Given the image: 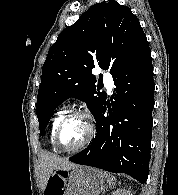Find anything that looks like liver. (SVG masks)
I'll return each mask as SVG.
<instances>
[{
    "label": "liver",
    "mask_w": 178,
    "mask_h": 195,
    "mask_svg": "<svg viewBox=\"0 0 178 195\" xmlns=\"http://www.w3.org/2000/svg\"><path fill=\"white\" fill-rule=\"evenodd\" d=\"M75 166L77 165L70 162L67 158H61L59 156L50 153H42L40 156L42 190L45 189L47 185V181L54 170H58V169L70 170Z\"/></svg>",
    "instance_id": "6515ba94"
}]
</instances>
